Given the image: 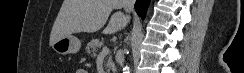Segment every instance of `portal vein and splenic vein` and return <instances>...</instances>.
<instances>
[{
    "label": "portal vein and splenic vein",
    "mask_w": 244,
    "mask_h": 73,
    "mask_svg": "<svg viewBox=\"0 0 244 73\" xmlns=\"http://www.w3.org/2000/svg\"><path fill=\"white\" fill-rule=\"evenodd\" d=\"M109 53V49L107 47H103L100 55H107Z\"/></svg>",
    "instance_id": "portal-vein-and-splenic-vein-1"
}]
</instances>
